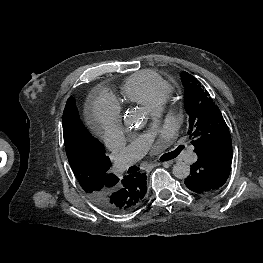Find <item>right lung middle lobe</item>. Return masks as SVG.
Masks as SVG:
<instances>
[{
    "label": "right lung middle lobe",
    "instance_id": "1",
    "mask_svg": "<svg viewBox=\"0 0 263 263\" xmlns=\"http://www.w3.org/2000/svg\"><path fill=\"white\" fill-rule=\"evenodd\" d=\"M62 124L66 154L73 173L86 193L99 191L111 163L103 144L80 121L73 97L67 100Z\"/></svg>",
    "mask_w": 263,
    "mask_h": 263
}]
</instances>
